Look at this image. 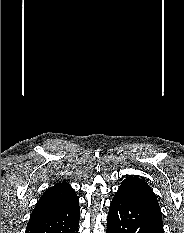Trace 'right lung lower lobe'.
Listing matches in <instances>:
<instances>
[{"mask_svg": "<svg viewBox=\"0 0 184 233\" xmlns=\"http://www.w3.org/2000/svg\"><path fill=\"white\" fill-rule=\"evenodd\" d=\"M80 208L29 220L26 233H78Z\"/></svg>", "mask_w": 184, "mask_h": 233, "instance_id": "right-lung-lower-lobe-1", "label": "right lung lower lobe"}]
</instances>
